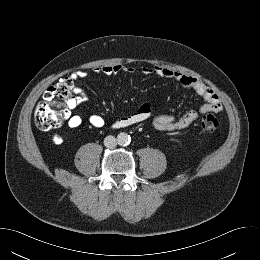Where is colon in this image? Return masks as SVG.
<instances>
[{"label": "colon", "mask_w": 260, "mask_h": 260, "mask_svg": "<svg viewBox=\"0 0 260 260\" xmlns=\"http://www.w3.org/2000/svg\"><path fill=\"white\" fill-rule=\"evenodd\" d=\"M74 83L68 78H62L46 89L43 100L37 105L34 112L36 126L44 131L52 130L61 125L68 114L69 104L76 99ZM220 125L216 114H205L201 119L204 131L213 133Z\"/></svg>", "instance_id": "colon-1"}]
</instances>
